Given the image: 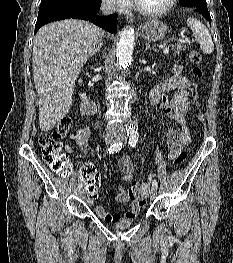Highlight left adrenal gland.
Returning <instances> with one entry per match:
<instances>
[{
  "label": "left adrenal gland",
  "mask_w": 233,
  "mask_h": 263,
  "mask_svg": "<svg viewBox=\"0 0 233 263\" xmlns=\"http://www.w3.org/2000/svg\"><path fill=\"white\" fill-rule=\"evenodd\" d=\"M148 49L157 51V49L155 47H153V46L151 47L149 43H146V49L145 50L147 51Z\"/></svg>",
  "instance_id": "left-adrenal-gland-1"
}]
</instances>
